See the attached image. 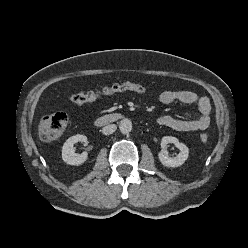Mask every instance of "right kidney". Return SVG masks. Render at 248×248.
<instances>
[{
	"label": "right kidney",
	"instance_id": "right-kidney-1",
	"mask_svg": "<svg viewBox=\"0 0 248 248\" xmlns=\"http://www.w3.org/2000/svg\"><path fill=\"white\" fill-rule=\"evenodd\" d=\"M77 142H87V137L82 134H77L74 136H71L66 140L62 147V159L65 163L69 165H81L83 164L87 158L88 154L87 152H83L81 154H76L75 150L73 148L74 144Z\"/></svg>",
	"mask_w": 248,
	"mask_h": 248
}]
</instances>
